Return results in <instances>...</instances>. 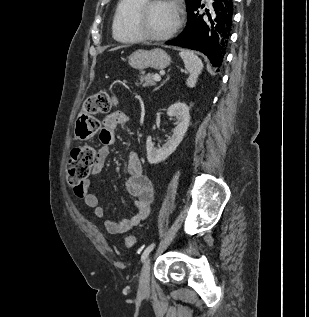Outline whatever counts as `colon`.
<instances>
[{"instance_id": "obj_1", "label": "colon", "mask_w": 309, "mask_h": 317, "mask_svg": "<svg viewBox=\"0 0 309 317\" xmlns=\"http://www.w3.org/2000/svg\"><path fill=\"white\" fill-rule=\"evenodd\" d=\"M116 104V98L106 92H98L89 96L83 106V112L76 123V134L81 139L92 137L100 128V122L95 117L98 114L108 113ZM96 151L93 147L82 145L71 151L67 165V182L76 189L91 173L96 159ZM126 245L133 247V236L126 238Z\"/></svg>"}]
</instances>
